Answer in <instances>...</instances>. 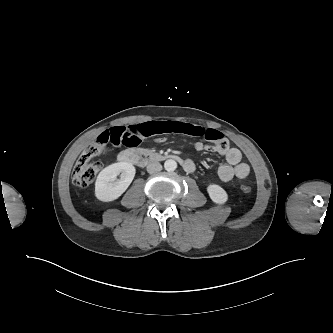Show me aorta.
Listing matches in <instances>:
<instances>
[{"instance_id":"obj_1","label":"aorta","mask_w":333,"mask_h":333,"mask_svg":"<svg viewBox=\"0 0 333 333\" xmlns=\"http://www.w3.org/2000/svg\"><path fill=\"white\" fill-rule=\"evenodd\" d=\"M164 168L166 171H174L177 168V162L174 159H168L164 162Z\"/></svg>"}]
</instances>
